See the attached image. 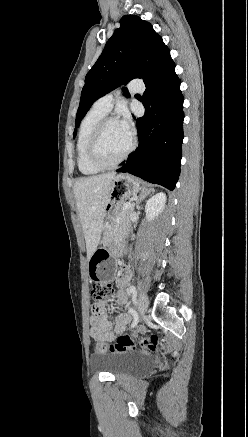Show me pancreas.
I'll use <instances>...</instances> for the list:
<instances>
[{
	"label": "pancreas",
	"instance_id": "obj_1",
	"mask_svg": "<svg viewBox=\"0 0 248 437\" xmlns=\"http://www.w3.org/2000/svg\"><path fill=\"white\" fill-rule=\"evenodd\" d=\"M125 204V202L122 204L118 218L114 222H111L109 225V229H107L108 235L113 240L121 236L123 229L129 223V215L134 209L133 206L123 209Z\"/></svg>",
	"mask_w": 248,
	"mask_h": 437
}]
</instances>
